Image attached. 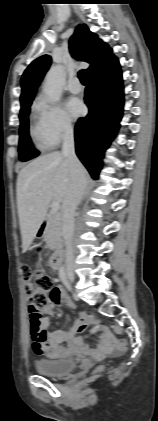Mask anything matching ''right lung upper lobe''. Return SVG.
Instances as JSON below:
<instances>
[{
    "instance_id": "right-lung-upper-lobe-1",
    "label": "right lung upper lobe",
    "mask_w": 158,
    "mask_h": 421,
    "mask_svg": "<svg viewBox=\"0 0 158 421\" xmlns=\"http://www.w3.org/2000/svg\"><path fill=\"white\" fill-rule=\"evenodd\" d=\"M70 52L77 60L90 63L89 75L105 66L114 56L112 49L92 33L85 24L77 26L70 39ZM51 64V58L43 55L34 60L25 70L22 79L21 105L32 102L38 85Z\"/></svg>"
}]
</instances>
